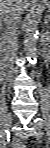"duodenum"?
<instances>
[{
	"label": "duodenum",
	"mask_w": 50,
	"mask_h": 148,
	"mask_svg": "<svg viewBox=\"0 0 50 148\" xmlns=\"http://www.w3.org/2000/svg\"><path fill=\"white\" fill-rule=\"evenodd\" d=\"M7 81V74L4 72V69H2V82L5 83Z\"/></svg>",
	"instance_id": "obj_1"
}]
</instances>
